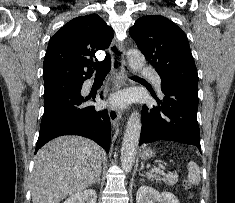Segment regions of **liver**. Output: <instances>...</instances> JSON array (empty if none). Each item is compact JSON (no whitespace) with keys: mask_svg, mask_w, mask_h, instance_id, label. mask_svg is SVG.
Segmentation results:
<instances>
[{"mask_svg":"<svg viewBox=\"0 0 235 203\" xmlns=\"http://www.w3.org/2000/svg\"><path fill=\"white\" fill-rule=\"evenodd\" d=\"M102 148L80 136H61L36 154L31 184L33 203H60L90 187L101 173Z\"/></svg>","mask_w":235,"mask_h":203,"instance_id":"6515ba94","label":"liver"}]
</instances>
